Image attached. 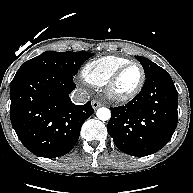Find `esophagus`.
<instances>
[{"mask_svg":"<svg viewBox=\"0 0 193 193\" xmlns=\"http://www.w3.org/2000/svg\"><path fill=\"white\" fill-rule=\"evenodd\" d=\"M102 106V103L99 102V101H96V100H93L92 101V107L94 110H96L97 108L101 107Z\"/></svg>","mask_w":193,"mask_h":193,"instance_id":"esophagus-1","label":"esophagus"}]
</instances>
